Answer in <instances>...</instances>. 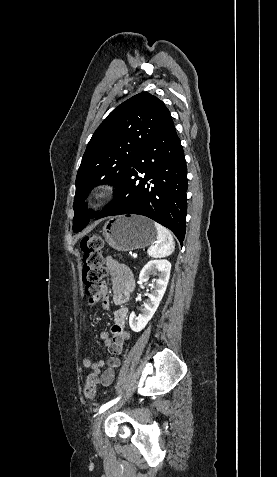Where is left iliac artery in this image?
<instances>
[{"instance_id":"obj_1","label":"left iliac artery","mask_w":277,"mask_h":477,"mask_svg":"<svg viewBox=\"0 0 277 477\" xmlns=\"http://www.w3.org/2000/svg\"><path fill=\"white\" fill-rule=\"evenodd\" d=\"M119 399H120V398L118 397V398H116V399H114V400H112V401H110V402H108V403L102 405V406L100 407L98 413H99V414L103 413V412L106 411L108 408H110V407L113 406L115 403H117V401H119Z\"/></svg>"}]
</instances>
